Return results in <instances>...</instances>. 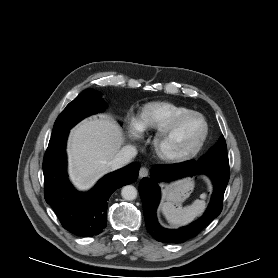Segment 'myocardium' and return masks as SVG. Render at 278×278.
Wrapping results in <instances>:
<instances>
[{
	"mask_svg": "<svg viewBox=\"0 0 278 278\" xmlns=\"http://www.w3.org/2000/svg\"><path fill=\"white\" fill-rule=\"evenodd\" d=\"M197 117L203 123V132L196 144L187 150L176 151L171 148L170 143L179 127L189 118ZM209 134V125L206 118L199 112L190 111L177 117L169 126L160 130L154 139L153 146L157 156L170 163H179L194 158L203 148Z\"/></svg>",
	"mask_w": 278,
	"mask_h": 278,
	"instance_id": "myocardium-1",
	"label": "myocardium"
}]
</instances>
